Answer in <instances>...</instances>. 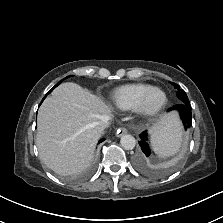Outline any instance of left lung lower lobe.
<instances>
[{"mask_svg":"<svg viewBox=\"0 0 223 223\" xmlns=\"http://www.w3.org/2000/svg\"><path fill=\"white\" fill-rule=\"evenodd\" d=\"M169 110H178L179 111L180 117L182 119L185 129L189 128L192 125L190 103H188V104L181 103V104L173 106ZM140 138H141V141L139 142V145L141 147L142 154L136 160V165L144 171H151V167L149 166V164L147 163V161L145 159V157H149L151 154V151L147 144V132H142L140 134Z\"/></svg>","mask_w":223,"mask_h":223,"instance_id":"1","label":"left lung lower lobe"}]
</instances>
